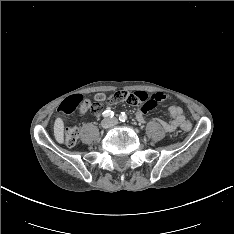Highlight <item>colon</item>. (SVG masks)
I'll use <instances>...</instances> for the list:
<instances>
[{"label":"colon","mask_w":234,"mask_h":234,"mask_svg":"<svg viewBox=\"0 0 234 234\" xmlns=\"http://www.w3.org/2000/svg\"><path fill=\"white\" fill-rule=\"evenodd\" d=\"M166 95L162 92H157L152 95H148L142 91L128 92V91H116L111 95L97 94L93 100L84 99L81 95H74L65 99L60 106V111L65 114H71L76 110L81 113L90 111L97 115L101 112L106 102L111 103H127L131 106H140L142 108L152 110L157 105L164 101ZM191 123L186 121L182 126L183 131H189L191 129ZM79 133L76 128H66L64 132V142L67 146L73 147L78 141Z\"/></svg>","instance_id":"5ec220e1"}]
</instances>
